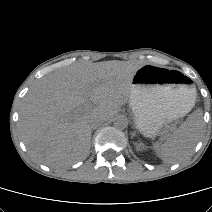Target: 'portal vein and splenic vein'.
I'll use <instances>...</instances> for the list:
<instances>
[{
	"instance_id": "1",
	"label": "portal vein and splenic vein",
	"mask_w": 212,
	"mask_h": 212,
	"mask_svg": "<svg viewBox=\"0 0 212 212\" xmlns=\"http://www.w3.org/2000/svg\"><path fill=\"white\" fill-rule=\"evenodd\" d=\"M85 108H86V109H88L89 107H88V106H86ZM75 113H79V112H77V111H76Z\"/></svg>"
}]
</instances>
